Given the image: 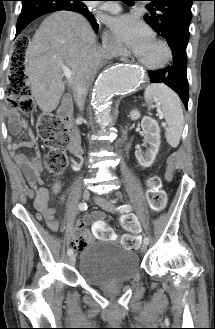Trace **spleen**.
Listing matches in <instances>:
<instances>
[{"mask_svg":"<svg viewBox=\"0 0 215 329\" xmlns=\"http://www.w3.org/2000/svg\"><path fill=\"white\" fill-rule=\"evenodd\" d=\"M145 101L152 106V102L161 107L167 123L165 137L171 147H177L184 128V116L178 95L164 84L148 86L144 92Z\"/></svg>","mask_w":215,"mask_h":329,"instance_id":"1","label":"spleen"}]
</instances>
